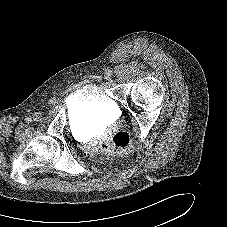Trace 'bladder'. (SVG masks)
<instances>
[{
  "instance_id": "bladder-1",
  "label": "bladder",
  "mask_w": 227,
  "mask_h": 227,
  "mask_svg": "<svg viewBox=\"0 0 227 227\" xmlns=\"http://www.w3.org/2000/svg\"><path fill=\"white\" fill-rule=\"evenodd\" d=\"M67 107L72 124L80 129L90 123H111L120 115L116 101L99 84H87L74 91Z\"/></svg>"
}]
</instances>
